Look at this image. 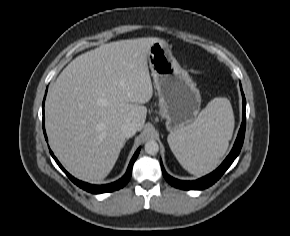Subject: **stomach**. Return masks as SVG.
<instances>
[{
	"label": "stomach",
	"instance_id": "stomach-1",
	"mask_svg": "<svg viewBox=\"0 0 290 236\" xmlns=\"http://www.w3.org/2000/svg\"><path fill=\"white\" fill-rule=\"evenodd\" d=\"M147 60L159 96V115L166 119L170 133L180 131L197 119L200 92L165 40L159 39L151 45Z\"/></svg>",
	"mask_w": 290,
	"mask_h": 236
}]
</instances>
